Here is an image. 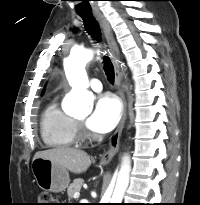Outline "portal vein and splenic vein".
<instances>
[{
    "label": "portal vein and splenic vein",
    "instance_id": "18ae733b",
    "mask_svg": "<svg viewBox=\"0 0 200 205\" xmlns=\"http://www.w3.org/2000/svg\"><path fill=\"white\" fill-rule=\"evenodd\" d=\"M79 196H80V193H79V192H76V193H74V195H73L74 198H79Z\"/></svg>",
    "mask_w": 200,
    "mask_h": 205
}]
</instances>
